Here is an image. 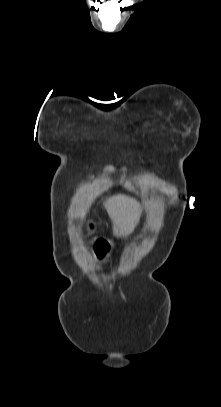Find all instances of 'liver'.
<instances>
[{
  "label": "liver",
  "mask_w": 221,
  "mask_h": 407,
  "mask_svg": "<svg viewBox=\"0 0 221 407\" xmlns=\"http://www.w3.org/2000/svg\"><path fill=\"white\" fill-rule=\"evenodd\" d=\"M104 207L113 223L114 236L126 237L134 231L141 215L140 205L135 199L115 195L104 202Z\"/></svg>",
  "instance_id": "6515ba94"
}]
</instances>
